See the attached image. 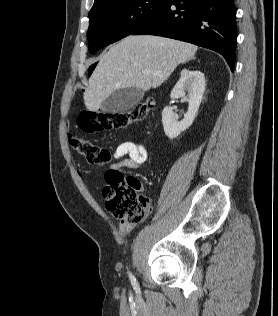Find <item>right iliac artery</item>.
Here are the masks:
<instances>
[{
	"label": "right iliac artery",
	"mask_w": 278,
	"mask_h": 316,
	"mask_svg": "<svg viewBox=\"0 0 278 316\" xmlns=\"http://www.w3.org/2000/svg\"><path fill=\"white\" fill-rule=\"evenodd\" d=\"M129 277H130V279H131V282H132L133 284H135V283H136V280H135L134 276H133L131 273H129Z\"/></svg>",
	"instance_id": "1"
}]
</instances>
